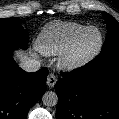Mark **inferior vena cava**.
Segmentation results:
<instances>
[{"mask_svg": "<svg viewBox=\"0 0 119 119\" xmlns=\"http://www.w3.org/2000/svg\"><path fill=\"white\" fill-rule=\"evenodd\" d=\"M20 67L26 72H36L40 69L41 64L38 60L29 58V59L23 61L20 64Z\"/></svg>", "mask_w": 119, "mask_h": 119, "instance_id": "602c4592", "label": "inferior vena cava"}]
</instances>
